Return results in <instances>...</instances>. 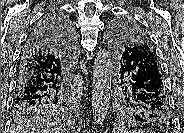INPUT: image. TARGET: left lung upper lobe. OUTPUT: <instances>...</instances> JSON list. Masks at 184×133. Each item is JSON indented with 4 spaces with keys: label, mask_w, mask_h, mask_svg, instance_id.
Returning a JSON list of instances; mask_svg holds the SVG:
<instances>
[{
    "label": "left lung upper lobe",
    "mask_w": 184,
    "mask_h": 133,
    "mask_svg": "<svg viewBox=\"0 0 184 133\" xmlns=\"http://www.w3.org/2000/svg\"><path fill=\"white\" fill-rule=\"evenodd\" d=\"M108 35L120 71V83L115 100L117 111L120 115L143 121L147 119L146 115L128 82L132 69L135 71L137 66H149L150 69L146 71H153L156 76L162 78V70L150 39L136 22L124 18L111 22Z\"/></svg>",
    "instance_id": "1"
}]
</instances>
